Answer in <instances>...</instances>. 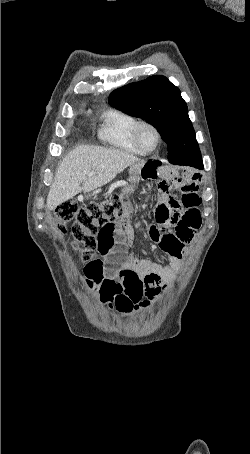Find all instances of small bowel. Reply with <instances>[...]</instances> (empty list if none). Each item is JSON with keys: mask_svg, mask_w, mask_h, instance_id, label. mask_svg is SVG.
<instances>
[{"mask_svg": "<svg viewBox=\"0 0 250 454\" xmlns=\"http://www.w3.org/2000/svg\"><path fill=\"white\" fill-rule=\"evenodd\" d=\"M201 174L144 180L133 174L125 188L137 191L145 199L157 193L155 225L149 227L151 240L169 258V265L138 259L126 252L133 239L128 216L106 225L98 233L101 258L89 261L84 267L86 285L99 302L121 313L149 309L167 284L174 280L187 250L202 222L199 210ZM179 190L180 195L172 194Z\"/></svg>", "mask_w": 250, "mask_h": 454, "instance_id": "obj_1", "label": "small bowel"}]
</instances>
